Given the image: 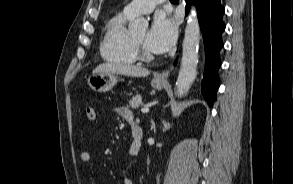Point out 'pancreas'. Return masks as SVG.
<instances>
[{"label":"pancreas","mask_w":293,"mask_h":184,"mask_svg":"<svg viewBox=\"0 0 293 184\" xmlns=\"http://www.w3.org/2000/svg\"><path fill=\"white\" fill-rule=\"evenodd\" d=\"M142 104V97L140 95H136L129 101V106L131 109H138Z\"/></svg>","instance_id":"pancreas-1"}]
</instances>
